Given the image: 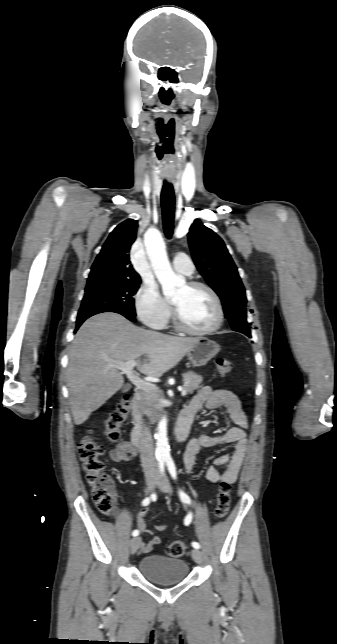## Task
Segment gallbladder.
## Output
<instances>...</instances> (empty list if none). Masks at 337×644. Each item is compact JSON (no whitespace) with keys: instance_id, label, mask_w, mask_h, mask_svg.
<instances>
[{"instance_id":"1","label":"gallbladder","mask_w":337,"mask_h":644,"mask_svg":"<svg viewBox=\"0 0 337 644\" xmlns=\"http://www.w3.org/2000/svg\"><path fill=\"white\" fill-rule=\"evenodd\" d=\"M127 390H128L127 386H124L123 389H122L123 392H126Z\"/></svg>"}]
</instances>
